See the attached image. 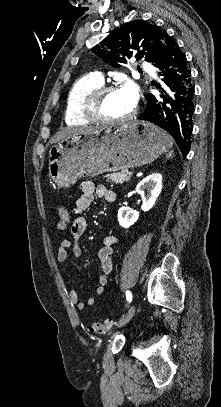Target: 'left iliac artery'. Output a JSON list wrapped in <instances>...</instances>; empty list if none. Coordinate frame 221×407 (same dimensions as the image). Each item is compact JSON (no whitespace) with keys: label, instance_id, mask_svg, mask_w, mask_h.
<instances>
[{"label":"left iliac artery","instance_id":"obj_1","mask_svg":"<svg viewBox=\"0 0 221 407\" xmlns=\"http://www.w3.org/2000/svg\"><path fill=\"white\" fill-rule=\"evenodd\" d=\"M126 298L129 303L132 301V293L130 291H126Z\"/></svg>","mask_w":221,"mask_h":407}]
</instances>
